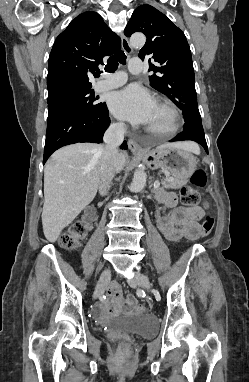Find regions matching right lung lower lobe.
Returning a JSON list of instances; mask_svg holds the SVG:
<instances>
[{"mask_svg":"<svg viewBox=\"0 0 249 382\" xmlns=\"http://www.w3.org/2000/svg\"><path fill=\"white\" fill-rule=\"evenodd\" d=\"M109 124V112L105 103L95 114L72 115L47 124L43 163L54 151L65 145L78 142L101 143ZM121 148H127L126 142Z\"/></svg>","mask_w":249,"mask_h":382,"instance_id":"1","label":"right lung lower lobe"}]
</instances>
